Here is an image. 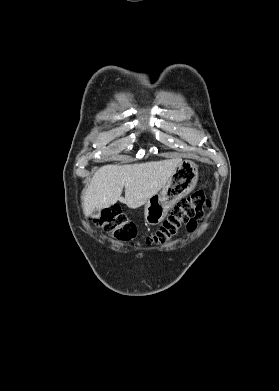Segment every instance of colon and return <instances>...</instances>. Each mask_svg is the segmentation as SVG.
<instances>
[{"mask_svg":"<svg viewBox=\"0 0 279 391\" xmlns=\"http://www.w3.org/2000/svg\"><path fill=\"white\" fill-rule=\"evenodd\" d=\"M208 205L209 201L203 191L194 192L182 199L171 210L162 226L156 232L146 236L145 241L148 244H164L177 236L183 227L194 230ZM95 224L120 242L135 240L137 235L134 223L118 206L103 211L95 220Z\"/></svg>","mask_w":279,"mask_h":391,"instance_id":"colon-1","label":"colon"}]
</instances>
